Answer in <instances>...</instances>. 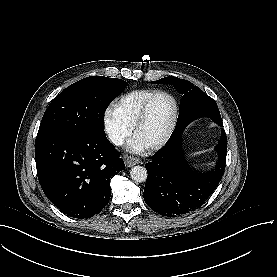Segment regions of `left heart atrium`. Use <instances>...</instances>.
<instances>
[{
	"mask_svg": "<svg viewBox=\"0 0 277 277\" xmlns=\"http://www.w3.org/2000/svg\"><path fill=\"white\" fill-rule=\"evenodd\" d=\"M131 152L139 153L143 150V144L139 140H132L129 144Z\"/></svg>",
	"mask_w": 277,
	"mask_h": 277,
	"instance_id": "obj_1",
	"label": "left heart atrium"
}]
</instances>
